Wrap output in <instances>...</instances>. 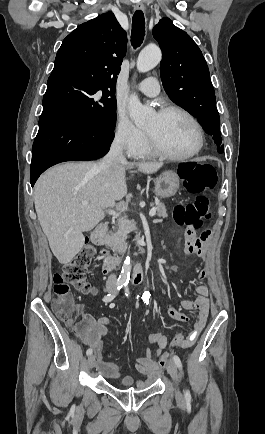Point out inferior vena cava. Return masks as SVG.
Here are the masks:
<instances>
[{"label":"inferior vena cava","instance_id":"602c4592","mask_svg":"<svg viewBox=\"0 0 265 434\" xmlns=\"http://www.w3.org/2000/svg\"><path fill=\"white\" fill-rule=\"evenodd\" d=\"M123 142L122 140H119V138H115L107 156L101 160L99 166V170H102V172H107V170H111V168H116L118 164H127V160L125 156H123ZM108 282H111V284H116V276L115 274H111L108 278Z\"/></svg>","mask_w":265,"mask_h":434}]
</instances>
